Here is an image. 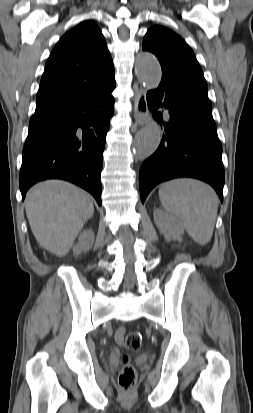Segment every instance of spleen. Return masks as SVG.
I'll return each mask as SVG.
<instances>
[{
  "mask_svg": "<svg viewBox=\"0 0 253 413\" xmlns=\"http://www.w3.org/2000/svg\"><path fill=\"white\" fill-rule=\"evenodd\" d=\"M159 198L167 212L181 219L195 242L205 245L211 240L218 209L211 186L195 179H176L160 186Z\"/></svg>",
  "mask_w": 253,
  "mask_h": 413,
  "instance_id": "3e777b00",
  "label": "spleen"
}]
</instances>
